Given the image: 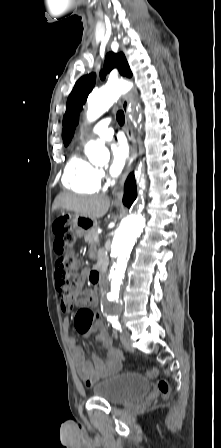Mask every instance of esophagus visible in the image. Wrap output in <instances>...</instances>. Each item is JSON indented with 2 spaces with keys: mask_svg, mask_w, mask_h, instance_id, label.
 I'll use <instances>...</instances> for the list:
<instances>
[{
  "mask_svg": "<svg viewBox=\"0 0 221 448\" xmlns=\"http://www.w3.org/2000/svg\"><path fill=\"white\" fill-rule=\"evenodd\" d=\"M122 109L125 113V132H126V136L131 145V153H130V157L128 159L125 171L122 175L121 181L114 188V191H113L114 196H113L112 201L116 204L122 203L123 185H124V182H125L128 174L130 173V171L132 169V163L137 157V149H136V143H135V139H134L133 127H132L130 117H129V98H128V96H125L123 99Z\"/></svg>",
  "mask_w": 221,
  "mask_h": 448,
  "instance_id": "obj_1",
  "label": "esophagus"
}]
</instances>
